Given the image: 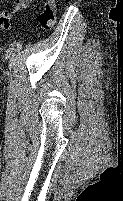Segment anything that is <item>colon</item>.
Instances as JSON below:
<instances>
[{"label": "colon", "mask_w": 123, "mask_h": 201, "mask_svg": "<svg viewBox=\"0 0 123 201\" xmlns=\"http://www.w3.org/2000/svg\"><path fill=\"white\" fill-rule=\"evenodd\" d=\"M56 20V0H45L41 11L36 16L38 26L42 31L53 28Z\"/></svg>", "instance_id": "1"}]
</instances>
